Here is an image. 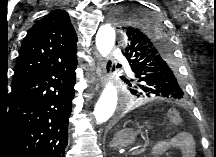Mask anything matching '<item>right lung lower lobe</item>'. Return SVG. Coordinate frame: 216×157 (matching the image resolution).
<instances>
[{
  "instance_id": "98d812e1",
  "label": "right lung lower lobe",
  "mask_w": 216,
  "mask_h": 157,
  "mask_svg": "<svg viewBox=\"0 0 216 157\" xmlns=\"http://www.w3.org/2000/svg\"><path fill=\"white\" fill-rule=\"evenodd\" d=\"M77 59L12 87L0 115V157H65Z\"/></svg>"
}]
</instances>
